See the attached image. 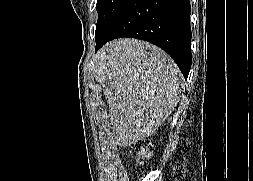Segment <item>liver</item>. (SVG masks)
Segmentation results:
<instances>
[{
  "label": "liver",
  "mask_w": 253,
  "mask_h": 181,
  "mask_svg": "<svg viewBox=\"0 0 253 181\" xmlns=\"http://www.w3.org/2000/svg\"><path fill=\"white\" fill-rule=\"evenodd\" d=\"M93 72L109 106L114 145L128 146L153 134L177 105L182 75L160 48L118 39L93 56Z\"/></svg>",
  "instance_id": "1"
}]
</instances>
